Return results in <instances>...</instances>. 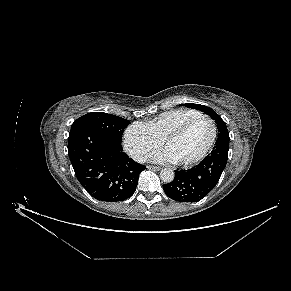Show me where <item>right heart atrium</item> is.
<instances>
[{"label":"right heart atrium","mask_w":291,"mask_h":291,"mask_svg":"<svg viewBox=\"0 0 291 291\" xmlns=\"http://www.w3.org/2000/svg\"><path fill=\"white\" fill-rule=\"evenodd\" d=\"M162 140L156 137L146 125L134 123L124 135V145L127 152L137 161H143L151 151L158 148Z\"/></svg>","instance_id":"right-heart-atrium-1"}]
</instances>
